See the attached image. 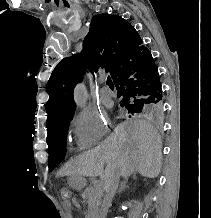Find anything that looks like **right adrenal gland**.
Returning a JSON list of instances; mask_svg holds the SVG:
<instances>
[{"label": "right adrenal gland", "mask_w": 211, "mask_h": 218, "mask_svg": "<svg viewBox=\"0 0 211 218\" xmlns=\"http://www.w3.org/2000/svg\"><path fill=\"white\" fill-rule=\"evenodd\" d=\"M128 182V178H124L123 182H121L118 192H123L124 188H127L126 184Z\"/></svg>", "instance_id": "obj_1"}]
</instances>
